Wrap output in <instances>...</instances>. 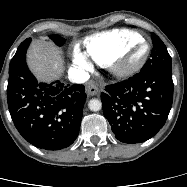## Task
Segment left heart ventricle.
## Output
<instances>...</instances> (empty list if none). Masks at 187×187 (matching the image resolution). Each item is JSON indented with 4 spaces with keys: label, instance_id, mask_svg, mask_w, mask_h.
Returning <instances> with one entry per match:
<instances>
[{
    "label": "left heart ventricle",
    "instance_id": "1",
    "mask_svg": "<svg viewBox=\"0 0 187 187\" xmlns=\"http://www.w3.org/2000/svg\"><path fill=\"white\" fill-rule=\"evenodd\" d=\"M146 51V45L145 44H139L137 45L130 53L128 58V64H134L137 61L141 59V57L144 55Z\"/></svg>",
    "mask_w": 187,
    "mask_h": 187
}]
</instances>
